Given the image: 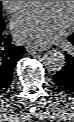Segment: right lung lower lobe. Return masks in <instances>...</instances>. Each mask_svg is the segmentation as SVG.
<instances>
[{
  "label": "right lung lower lobe",
  "instance_id": "obj_1",
  "mask_svg": "<svg viewBox=\"0 0 74 122\" xmlns=\"http://www.w3.org/2000/svg\"><path fill=\"white\" fill-rule=\"evenodd\" d=\"M25 52L23 46L12 45L9 36L0 35V94L9 88L13 68Z\"/></svg>",
  "mask_w": 74,
  "mask_h": 122
}]
</instances>
